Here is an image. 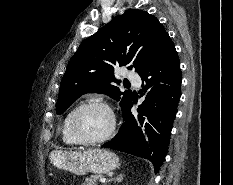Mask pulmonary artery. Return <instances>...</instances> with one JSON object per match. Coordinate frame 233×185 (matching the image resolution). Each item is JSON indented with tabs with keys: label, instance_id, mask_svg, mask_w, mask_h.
<instances>
[{
	"label": "pulmonary artery",
	"instance_id": "pulmonary-artery-1",
	"mask_svg": "<svg viewBox=\"0 0 233 185\" xmlns=\"http://www.w3.org/2000/svg\"><path fill=\"white\" fill-rule=\"evenodd\" d=\"M128 79L135 86H139L141 84V78L137 74L129 73Z\"/></svg>",
	"mask_w": 233,
	"mask_h": 185
}]
</instances>
